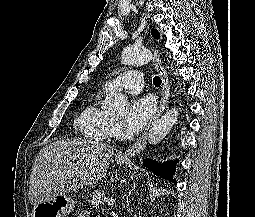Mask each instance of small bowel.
I'll list each match as a JSON object with an SVG mask.
<instances>
[{"label": "small bowel", "mask_w": 255, "mask_h": 217, "mask_svg": "<svg viewBox=\"0 0 255 217\" xmlns=\"http://www.w3.org/2000/svg\"><path fill=\"white\" fill-rule=\"evenodd\" d=\"M78 217H89V214L88 212L84 211Z\"/></svg>", "instance_id": "obj_1"}]
</instances>
